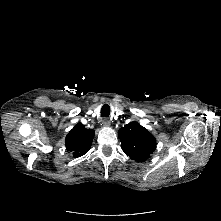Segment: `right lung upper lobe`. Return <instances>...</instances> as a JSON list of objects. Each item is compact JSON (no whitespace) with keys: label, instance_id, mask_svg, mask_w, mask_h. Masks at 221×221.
Masks as SVG:
<instances>
[{"label":"right lung upper lobe","instance_id":"1","mask_svg":"<svg viewBox=\"0 0 221 221\" xmlns=\"http://www.w3.org/2000/svg\"><path fill=\"white\" fill-rule=\"evenodd\" d=\"M94 138V130L86 129L78 123L66 136V148L73 152L75 158L88 152Z\"/></svg>","mask_w":221,"mask_h":221}]
</instances>
